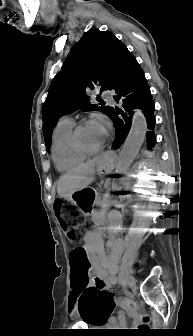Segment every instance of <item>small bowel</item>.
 <instances>
[{"label": "small bowel", "mask_w": 193, "mask_h": 336, "mask_svg": "<svg viewBox=\"0 0 193 336\" xmlns=\"http://www.w3.org/2000/svg\"><path fill=\"white\" fill-rule=\"evenodd\" d=\"M96 221L101 224L105 221V211L96 217ZM104 235L103 227L90 231L85 236L81 249L84 251L86 261L90 264L96 279L101 281L106 288H110L117 281L116 273L121 258L122 242L119 239H108L105 242ZM106 249L110 250L109 254L106 253ZM71 298L75 300L74 290L71 292ZM123 319L124 317L120 316V320ZM114 323L113 318L107 322L109 326Z\"/></svg>", "instance_id": "1"}]
</instances>
